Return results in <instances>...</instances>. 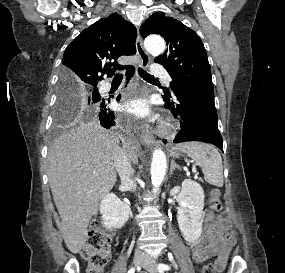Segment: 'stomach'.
Wrapping results in <instances>:
<instances>
[{"label":"stomach","instance_id":"0dacf381","mask_svg":"<svg viewBox=\"0 0 285 273\" xmlns=\"http://www.w3.org/2000/svg\"><path fill=\"white\" fill-rule=\"evenodd\" d=\"M170 155H171L172 157H178V156H179V153H178L176 150L172 149V150L170 151Z\"/></svg>","mask_w":285,"mask_h":273}]
</instances>
